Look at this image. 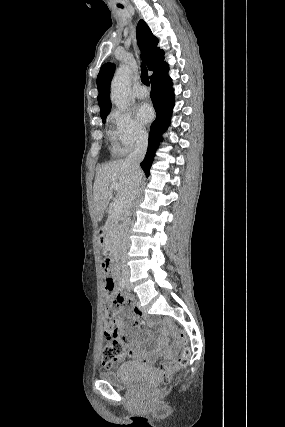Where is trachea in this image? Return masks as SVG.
I'll use <instances>...</instances> for the list:
<instances>
[{
    "label": "trachea",
    "mask_w": 285,
    "mask_h": 427,
    "mask_svg": "<svg viewBox=\"0 0 285 427\" xmlns=\"http://www.w3.org/2000/svg\"><path fill=\"white\" fill-rule=\"evenodd\" d=\"M141 81L146 85L149 86V77H148V71L145 65H141Z\"/></svg>",
    "instance_id": "3493384b"
}]
</instances>
